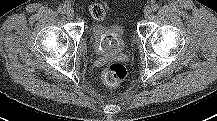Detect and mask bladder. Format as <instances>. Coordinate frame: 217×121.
Segmentation results:
<instances>
[{
  "instance_id": "bladder-1",
  "label": "bladder",
  "mask_w": 217,
  "mask_h": 121,
  "mask_svg": "<svg viewBox=\"0 0 217 121\" xmlns=\"http://www.w3.org/2000/svg\"><path fill=\"white\" fill-rule=\"evenodd\" d=\"M95 51L103 55H115L126 46L124 28L120 23H96L91 29Z\"/></svg>"
}]
</instances>
